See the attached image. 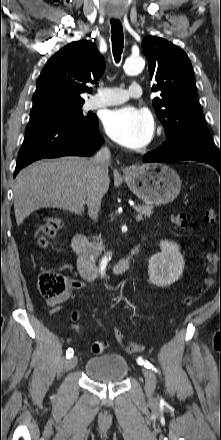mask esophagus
<instances>
[{"mask_svg":"<svg viewBox=\"0 0 221 440\" xmlns=\"http://www.w3.org/2000/svg\"><path fill=\"white\" fill-rule=\"evenodd\" d=\"M131 171V168L130 167H125L124 169H123V172L124 173H129Z\"/></svg>","mask_w":221,"mask_h":440,"instance_id":"1","label":"esophagus"}]
</instances>
